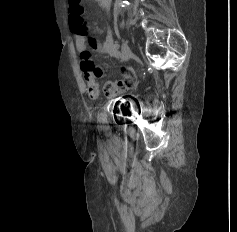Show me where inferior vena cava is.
<instances>
[{
    "label": "inferior vena cava",
    "mask_w": 237,
    "mask_h": 232,
    "mask_svg": "<svg viewBox=\"0 0 237 232\" xmlns=\"http://www.w3.org/2000/svg\"><path fill=\"white\" fill-rule=\"evenodd\" d=\"M101 1L102 4L106 7L107 12H109L111 0H101Z\"/></svg>",
    "instance_id": "inferior-vena-cava-1"
}]
</instances>
